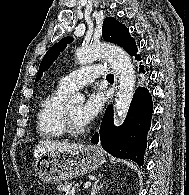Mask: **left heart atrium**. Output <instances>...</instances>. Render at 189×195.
Returning a JSON list of instances; mask_svg holds the SVG:
<instances>
[{
	"label": "left heart atrium",
	"mask_w": 189,
	"mask_h": 195,
	"mask_svg": "<svg viewBox=\"0 0 189 195\" xmlns=\"http://www.w3.org/2000/svg\"><path fill=\"white\" fill-rule=\"evenodd\" d=\"M105 97L99 91L92 92L80 110V120L84 125H89L101 112Z\"/></svg>",
	"instance_id": "39dd6f15"
}]
</instances>
